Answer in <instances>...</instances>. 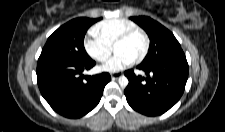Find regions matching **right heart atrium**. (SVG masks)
I'll list each match as a JSON object with an SVG mask.
<instances>
[{
    "instance_id": "1",
    "label": "right heart atrium",
    "mask_w": 225,
    "mask_h": 132,
    "mask_svg": "<svg viewBox=\"0 0 225 132\" xmlns=\"http://www.w3.org/2000/svg\"><path fill=\"white\" fill-rule=\"evenodd\" d=\"M86 53L97 62H105L112 54V47L106 45L96 36H87L83 42Z\"/></svg>"
}]
</instances>
